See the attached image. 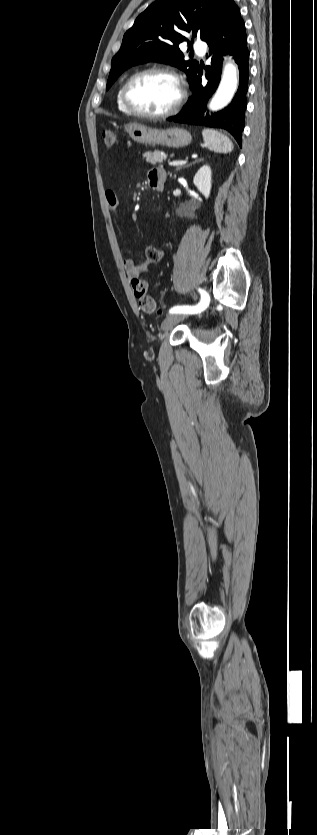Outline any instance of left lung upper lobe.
<instances>
[{"label":"left lung upper lobe","instance_id":"left-lung-upper-lobe-1","mask_svg":"<svg viewBox=\"0 0 317 835\" xmlns=\"http://www.w3.org/2000/svg\"><path fill=\"white\" fill-rule=\"evenodd\" d=\"M229 0H158L141 13L125 33L118 53L112 59L106 89L118 76L138 63L160 61L183 70L189 82L199 67L185 60L179 44L187 41L185 32L208 41L223 25Z\"/></svg>","mask_w":317,"mask_h":835}]
</instances>
